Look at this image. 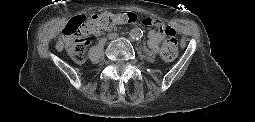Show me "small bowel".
<instances>
[{"label": "small bowel", "instance_id": "1", "mask_svg": "<svg viewBox=\"0 0 255 122\" xmlns=\"http://www.w3.org/2000/svg\"><path fill=\"white\" fill-rule=\"evenodd\" d=\"M153 21L157 24H161V22L157 19H153ZM162 39H163L162 33H160L157 30H152V31H150V33L148 35L147 44L151 50L158 53L159 45H160V42L162 41Z\"/></svg>", "mask_w": 255, "mask_h": 122}]
</instances>
